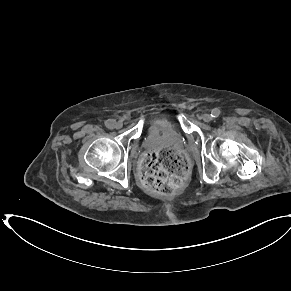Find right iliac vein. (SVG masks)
<instances>
[{
    "label": "right iliac vein",
    "instance_id": "right-iliac-vein-1",
    "mask_svg": "<svg viewBox=\"0 0 291 291\" xmlns=\"http://www.w3.org/2000/svg\"><path fill=\"white\" fill-rule=\"evenodd\" d=\"M122 126H123V123L121 121L115 122V124H114V127L116 129H120V128H122Z\"/></svg>",
    "mask_w": 291,
    "mask_h": 291
}]
</instances>
